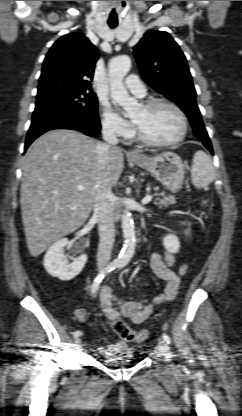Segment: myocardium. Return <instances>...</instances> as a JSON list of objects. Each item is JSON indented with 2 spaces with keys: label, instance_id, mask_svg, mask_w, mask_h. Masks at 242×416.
Segmentation results:
<instances>
[{
  "label": "myocardium",
  "instance_id": "obj_1",
  "mask_svg": "<svg viewBox=\"0 0 242 416\" xmlns=\"http://www.w3.org/2000/svg\"><path fill=\"white\" fill-rule=\"evenodd\" d=\"M159 106L169 107L173 111H175V113L178 115V117L181 121V131H180L179 135L176 138H174L172 140H168V141L151 140L142 133V131L135 125V123H133L134 137L140 143H142L143 145L148 146V147H168V146L178 144L179 142H181L185 138V136L187 134V131H188L187 117H186L185 113L183 112V110L178 105H176L175 103H173L171 101L165 100V99H151V100H149V101H147L146 103L143 104V107L146 110H151V109H154V108L159 107Z\"/></svg>",
  "mask_w": 242,
  "mask_h": 416
}]
</instances>
